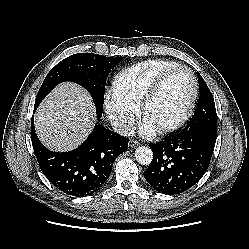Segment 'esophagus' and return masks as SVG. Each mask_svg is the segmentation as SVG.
I'll return each mask as SVG.
<instances>
[{
	"instance_id": "obj_1",
	"label": "esophagus",
	"mask_w": 249,
	"mask_h": 249,
	"mask_svg": "<svg viewBox=\"0 0 249 249\" xmlns=\"http://www.w3.org/2000/svg\"><path fill=\"white\" fill-rule=\"evenodd\" d=\"M140 145V143L134 139H130L129 140V146L132 148L138 147Z\"/></svg>"
}]
</instances>
